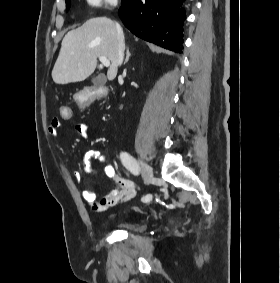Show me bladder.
Masks as SVG:
<instances>
[{
    "label": "bladder",
    "mask_w": 280,
    "mask_h": 283,
    "mask_svg": "<svg viewBox=\"0 0 280 283\" xmlns=\"http://www.w3.org/2000/svg\"><path fill=\"white\" fill-rule=\"evenodd\" d=\"M117 227L129 232L140 233L147 228V225L145 223L121 222L117 224Z\"/></svg>",
    "instance_id": "1"
}]
</instances>
